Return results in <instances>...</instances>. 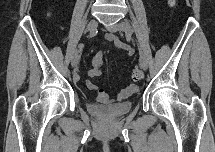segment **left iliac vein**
I'll list each match as a JSON object with an SVG mask.
<instances>
[{
  "label": "left iliac vein",
  "mask_w": 215,
  "mask_h": 152,
  "mask_svg": "<svg viewBox=\"0 0 215 152\" xmlns=\"http://www.w3.org/2000/svg\"><path fill=\"white\" fill-rule=\"evenodd\" d=\"M123 23H115V24L109 25L107 26V29L110 32H118V31L126 32V29ZM128 37L132 38L131 34H128ZM139 54H140V66L142 67L143 70H147V67H148L147 58L141 48H139Z\"/></svg>",
  "instance_id": "4c4485c4"
}]
</instances>
